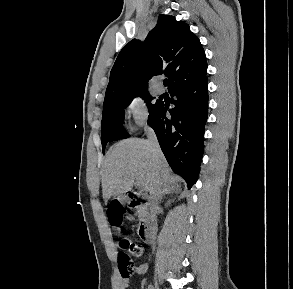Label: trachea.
<instances>
[{
	"instance_id": "trachea-1",
	"label": "trachea",
	"mask_w": 293,
	"mask_h": 289,
	"mask_svg": "<svg viewBox=\"0 0 293 289\" xmlns=\"http://www.w3.org/2000/svg\"><path fill=\"white\" fill-rule=\"evenodd\" d=\"M163 84H164V86H167V84H168V80L165 79V80L163 81Z\"/></svg>"
}]
</instances>
